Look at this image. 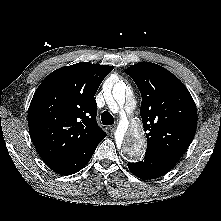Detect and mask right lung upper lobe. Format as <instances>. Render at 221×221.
Masks as SVG:
<instances>
[{"label":"right lung upper lobe","instance_id":"1","mask_svg":"<svg viewBox=\"0 0 221 221\" xmlns=\"http://www.w3.org/2000/svg\"><path fill=\"white\" fill-rule=\"evenodd\" d=\"M113 68L80 62L55 70L37 88L28 110V127L48 166L106 136L96 122L94 95Z\"/></svg>","mask_w":221,"mask_h":221}]
</instances>
